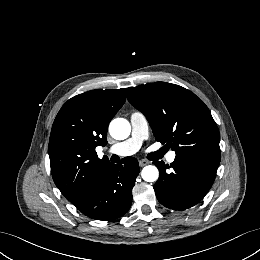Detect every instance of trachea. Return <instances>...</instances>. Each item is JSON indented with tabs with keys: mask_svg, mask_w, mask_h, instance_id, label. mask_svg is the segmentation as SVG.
Here are the masks:
<instances>
[{
	"mask_svg": "<svg viewBox=\"0 0 260 260\" xmlns=\"http://www.w3.org/2000/svg\"><path fill=\"white\" fill-rule=\"evenodd\" d=\"M153 155H154V157H157L158 156V152L154 153ZM111 160H113V158H111Z\"/></svg>",
	"mask_w": 260,
	"mask_h": 260,
	"instance_id": "trachea-1",
	"label": "trachea"
}]
</instances>
